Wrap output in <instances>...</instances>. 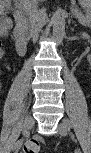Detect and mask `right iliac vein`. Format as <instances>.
Listing matches in <instances>:
<instances>
[{"instance_id":"right-iliac-vein-1","label":"right iliac vein","mask_w":91,"mask_h":153,"mask_svg":"<svg viewBox=\"0 0 91 153\" xmlns=\"http://www.w3.org/2000/svg\"><path fill=\"white\" fill-rule=\"evenodd\" d=\"M33 124H34V119L31 116H29L24 123L23 131H22L23 136L29 135L30 130L33 127ZM15 149L16 151L18 150V148H15Z\"/></svg>"}]
</instances>
